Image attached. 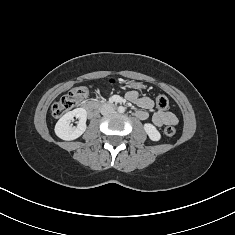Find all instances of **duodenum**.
<instances>
[{"mask_svg":"<svg viewBox=\"0 0 235 235\" xmlns=\"http://www.w3.org/2000/svg\"><path fill=\"white\" fill-rule=\"evenodd\" d=\"M103 106L114 107L117 106V104L116 103L101 104L96 102H89L84 104L83 108L89 117H95Z\"/></svg>","mask_w":235,"mask_h":235,"instance_id":"obj_1","label":"duodenum"}]
</instances>
